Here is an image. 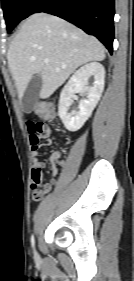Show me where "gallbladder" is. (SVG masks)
Wrapping results in <instances>:
<instances>
[{"instance_id": "obj_1", "label": "gallbladder", "mask_w": 134, "mask_h": 281, "mask_svg": "<svg viewBox=\"0 0 134 281\" xmlns=\"http://www.w3.org/2000/svg\"><path fill=\"white\" fill-rule=\"evenodd\" d=\"M42 88V78L40 75H35L29 81L24 95L21 99V106L24 112L30 113L35 106Z\"/></svg>"}]
</instances>
